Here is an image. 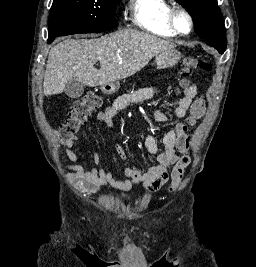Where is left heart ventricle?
<instances>
[{
	"instance_id": "obj_1",
	"label": "left heart ventricle",
	"mask_w": 256,
	"mask_h": 267,
	"mask_svg": "<svg viewBox=\"0 0 256 267\" xmlns=\"http://www.w3.org/2000/svg\"><path fill=\"white\" fill-rule=\"evenodd\" d=\"M176 20H177L178 27L182 31H186L188 29V21L182 13L180 12L176 13Z\"/></svg>"
}]
</instances>
